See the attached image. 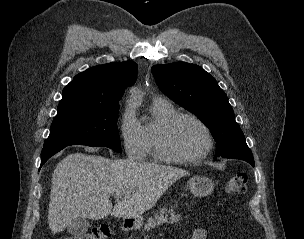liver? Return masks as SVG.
I'll return each mask as SVG.
<instances>
[{"label":"liver","instance_id":"liver-1","mask_svg":"<svg viewBox=\"0 0 304 239\" xmlns=\"http://www.w3.org/2000/svg\"><path fill=\"white\" fill-rule=\"evenodd\" d=\"M186 175L187 171L172 166L69 154L57 164L52 176L49 227L56 234L78 217L137 218ZM118 193L122 199L113 207L109 198Z\"/></svg>","mask_w":304,"mask_h":239}]
</instances>
